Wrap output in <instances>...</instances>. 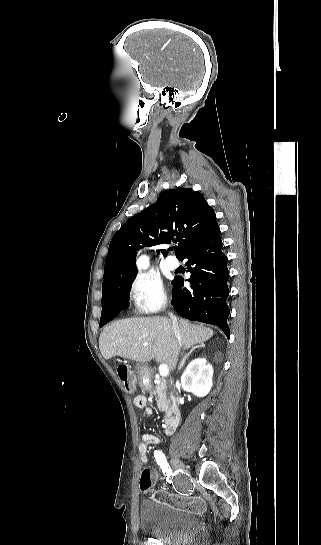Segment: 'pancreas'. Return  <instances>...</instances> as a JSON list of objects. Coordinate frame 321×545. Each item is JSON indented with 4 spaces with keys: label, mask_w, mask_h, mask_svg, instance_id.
<instances>
[{
    "label": "pancreas",
    "mask_w": 321,
    "mask_h": 545,
    "mask_svg": "<svg viewBox=\"0 0 321 545\" xmlns=\"http://www.w3.org/2000/svg\"><path fill=\"white\" fill-rule=\"evenodd\" d=\"M152 369L148 367L146 369L144 375L146 377H152ZM153 395H157V407L159 411H165L166 409V403H167V381L166 379H159V383H155V389L152 391Z\"/></svg>",
    "instance_id": "obj_1"
}]
</instances>
